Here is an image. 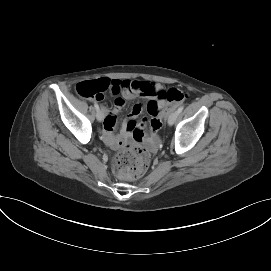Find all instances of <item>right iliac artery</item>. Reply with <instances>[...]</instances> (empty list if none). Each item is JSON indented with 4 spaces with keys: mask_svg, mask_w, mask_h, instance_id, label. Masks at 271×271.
<instances>
[{
    "mask_svg": "<svg viewBox=\"0 0 271 271\" xmlns=\"http://www.w3.org/2000/svg\"><path fill=\"white\" fill-rule=\"evenodd\" d=\"M94 107H95L96 110L99 109V105L97 103L94 104Z\"/></svg>",
    "mask_w": 271,
    "mask_h": 271,
    "instance_id": "1",
    "label": "right iliac artery"
}]
</instances>
